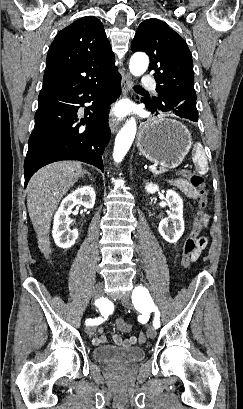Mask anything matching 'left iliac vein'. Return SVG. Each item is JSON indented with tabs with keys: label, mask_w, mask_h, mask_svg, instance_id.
<instances>
[{
	"label": "left iliac vein",
	"mask_w": 243,
	"mask_h": 409,
	"mask_svg": "<svg viewBox=\"0 0 243 409\" xmlns=\"http://www.w3.org/2000/svg\"><path fill=\"white\" fill-rule=\"evenodd\" d=\"M122 303L126 307H131V305H132L131 299L128 296H126V297H124L122 299ZM146 334H147L148 338L152 339V338H154L156 336V329L153 326H149L147 328Z\"/></svg>",
	"instance_id": "left-iliac-vein-1"
}]
</instances>
